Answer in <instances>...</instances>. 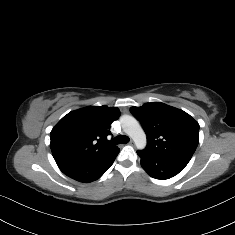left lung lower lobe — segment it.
<instances>
[{"instance_id":"obj_1","label":"left lung lower lobe","mask_w":235,"mask_h":235,"mask_svg":"<svg viewBox=\"0 0 235 235\" xmlns=\"http://www.w3.org/2000/svg\"><path fill=\"white\" fill-rule=\"evenodd\" d=\"M137 153L141 158L143 169L156 179H169L181 172L187 165L185 162L152 155L144 150L137 151Z\"/></svg>"}]
</instances>
